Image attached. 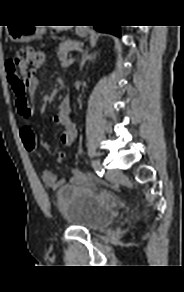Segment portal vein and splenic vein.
<instances>
[{
    "instance_id": "portal-vein-and-splenic-vein-1",
    "label": "portal vein and splenic vein",
    "mask_w": 184,
    "mask_h": 292,
    "mask_svg": "<svg viewBox=\"0 0 184 292\" xmlns=\"http://www.w3.org/2000/svg\"><path fill=\"white\" fill-rule=\"evenodd\" d=\"M73 61H74V59H72V58L68 59V60L67 59H63L62 62H61V66L65 67V68L69 67L73 63Z\"/></svg>"
}]
</instances>
